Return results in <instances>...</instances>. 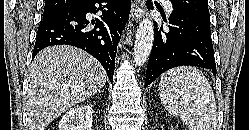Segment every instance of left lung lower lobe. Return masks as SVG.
<instances>
[{
  "label": "left lung lower lobe",
  "instance_id": "left-lung-lower-lobe-1",
  "mask_svg": "<svg viewBox=\"0 0 249 130\" xmlns=\"http://www.w3.org/2000/svg\"><path fill=\"white\" fill-rule=\"evenodd\" d=\"M169 24V32L155 28L145 87L177 66L203 67L216 74L209 22L173 9Z\"/></svg>",
  "mask_w": 249,
  "mask_h": 130
}]
</instances>
